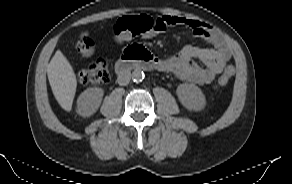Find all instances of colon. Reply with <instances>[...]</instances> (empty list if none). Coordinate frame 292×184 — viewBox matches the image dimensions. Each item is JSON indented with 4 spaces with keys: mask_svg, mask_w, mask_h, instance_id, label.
<instances>
[{
    "mask_svg": "<svg viewBox=\"0 0 292 184\" xmlns=\"http://www.w3.org/2000/svg\"><path fill=\"white\" fill-rule=\"evenodd\" d=\"M161 32L154 18L147 15L127 16L119 19L114 26V37L119 42H125L136 36L146 40L156 38ZM82 56H89L94 50L92 38L83 33L76 44ZM235 74V68L228 65L217 81V87L226 85ZM111 79L108 62L100 59L82 69L78 73V80L84 85L105 84Z\"/></svg>",
    "mask_w": 292,
    "mask_h": 184,
    "instance_id": "obj_1",
    "label": "colon"
}]
</instances>
